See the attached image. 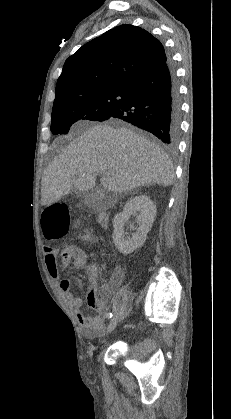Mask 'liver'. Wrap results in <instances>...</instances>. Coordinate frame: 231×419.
<instances>
[{
	"mask_svg": "<svg viewBox=\"0 0 231 419\" xmlns=\"http://www.w3.org/2000/svg\"><path fill=\"white\" fill-rule=\"evenodd\" d=\"M97 174H102L105 190L118 193L152 184L169 186L174 177L170 160L155 143L129 128L98 124L73 140L44 170L41 204L48 206L72 190L90 191Z\"/></svg>",
	"mask_w": 231,
	"mask_h": 419,
	"instance_id": "liver-1",
	"label": "liver"
}]
</instances>
